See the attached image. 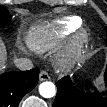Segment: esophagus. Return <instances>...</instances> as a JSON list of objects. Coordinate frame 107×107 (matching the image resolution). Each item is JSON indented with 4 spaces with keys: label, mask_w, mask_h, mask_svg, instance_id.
Listing matches in <instances>:
<instances>
[{
    "label": "esophagus",
    "mask_w": 107,
    "mask_h": 107,
    "mask_svg": "<svg viewBox=\"0 0 107 107\" xmlns=\"http://www.w3.org/2000/svg\"><path fill=\"white\" fill-rule=\"evenodd\" d=\"M39 79H40V81H46V80L50 79V76L46 71L42 70L40 72Z\"/></svg>",
    "instance_id": "1"
}]
</instances>
